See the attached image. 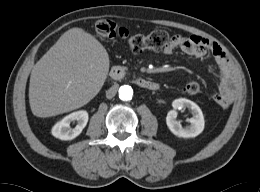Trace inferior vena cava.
<instances>
[{
  "label": "inferior vena cava",
  "mask_w": 260,
  "mask_h": 192,
  "mask_svg": "<svg viewBox=\"0 0 260 192\" xmlns=\"http://www.w3.org/2000/svg\"><path fill=\"white\" fill-rule=\"evenodd\" d=\"M116 92H117L116 88L115 87H111L110 89H108L106 91V97L108 99H111V98H113L115 96Z\"/></svg>",
  "instance_id": "inferior-vena-cava-1"
}]
</instances>
